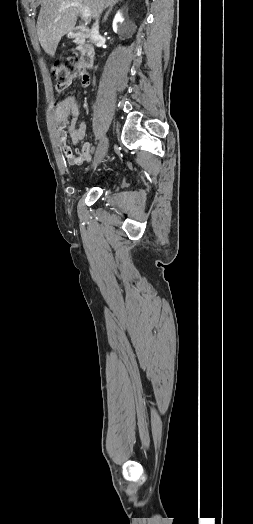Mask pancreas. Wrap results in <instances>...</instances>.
<instances>
[{
    "mask_svg": "<svg viewBox=\"0 0 253 524\" xmlns=\"http://www.w3.org/2000/svg\"><path fill=\"white\" fill-rule=\"evenodd\" d=\"M78 50L82 51L83 50V45H79L78 46Z\"/></svg>",
    "mask_w": 253,
    "mask_h": 524,
    "instance_id": "obj_1",
    "label": "pancreas"
}]
</instances>
